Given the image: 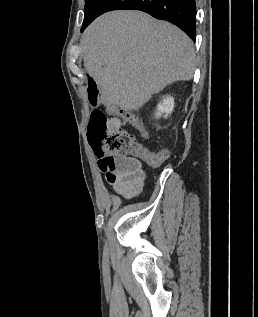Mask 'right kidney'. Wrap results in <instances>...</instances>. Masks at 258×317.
I'll return each mask as SVG.
<instances>
[{
	"mask_svg": "<svg viewBox=\"0 0 258 317\" xmlns=\"http://www.w3.org/2000/svg\"><path fill=\"white\" fill-rule=\"evenodd\" d=\"M174 108V98L173 96H165V98H162L160 102L157 104V110H156V118H159V116H164V118H167L168 114L172 112Z\"/></svg>",
	"mask_w": 258,
	"mask_h": 317,
	"instance_id": "obj_1",
	"label": "right kidney"
}]
</instances>
